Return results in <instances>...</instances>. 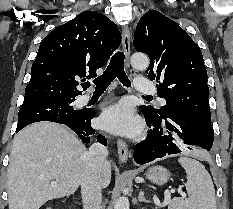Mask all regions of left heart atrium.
<instances>
[{"label": "left heart atrium", "mask_w": 233, "mask_h": 209, "mask_svg": "<svg viewBox=\"0 0 233 209\" xmlns=\"http://www.w3.org/2000/svg\"><path fill=\"white\" fill-rule=\"evenodd\" d=\"M99 124L110 132L124 135L135 134L140 128L132 108L125 102L105 109L100 116Z\"/></svg>", "instance_id": "left-heart-atrium-1"}]
</instances>
